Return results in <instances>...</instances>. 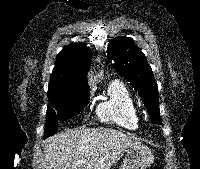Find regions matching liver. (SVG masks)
<instances>
[{
    "label": "liver",
    "instance_id": "obj_1",
    "mask_svg": "<svg viewBox=\"0 0 200 169\" xmlns=\"http://www.w3.org/2000/svg\"><path fill=\"white\" fill-rule=\"evenodd\" d=\"M140 145L112 128L70 130L46 140L43 169H111L124 150Z\"/></svg>",
    "mask_w": 200,
    "mask_h": 169
}]
</instances>
